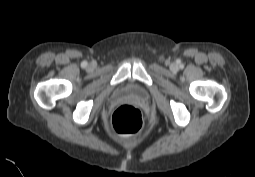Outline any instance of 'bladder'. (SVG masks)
Wrapping results in <instances>:
<instances>
[{"instance_id":"31cf9c89","label":"bladder","mask_w":255,"mask_h":177,"mask_svg":"<svg viewBox=\"0 0 255 177\" xmlns=\"http://www.w3.org/2000/svg\"><path fill=\"white\" fill-rule=\"evenodd\" d=\"M120 93L122 96H132L140 100L144 99L147 95L146 89L137 83L124 85Z\"/></svg>"}]
</instances>
